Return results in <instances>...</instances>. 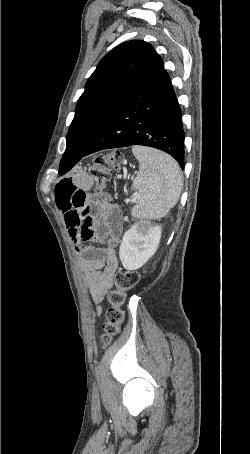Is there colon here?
Returning a JSON list of instances; mask_svg holds the SVG:
<instances>
[{"label":"colon","mask_w":250,"mask_h":454,"mask_svg":"<svg viewBox=\"0 0 250 454\" xmlns=\"http://www.w3.org/2000/svg\"><path fill=\"white\" fill-rule=\"evenodd\" d=\"M122 154L119 151L96 155L89 167V174L98 190H102L111 173L119 168ZM140 276L134 270H120L115 275V288L108 294L109 308L102 327L101 341L108 344L119 332L125 319L123 305L127 294L139 282Z\"/></svg>","instance_id":"obj_1"}]
</instances>
